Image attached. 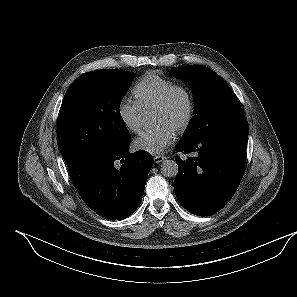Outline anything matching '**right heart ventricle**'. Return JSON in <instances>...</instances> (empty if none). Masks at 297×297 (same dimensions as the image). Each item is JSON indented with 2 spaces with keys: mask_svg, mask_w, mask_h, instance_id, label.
Instances as JSON below:
<instances>
[{
  "mask_svg": "<svg viewBox=\"0 0 297 297\" xmlns=\"http://www.w3.org/2000/svg\"><path fill=\"white\" fill-rule=\"evenodd\" d=\"M175 83L155 72L145 74L133 87V95L142 110L155 106Z\"/></svg>",
  "mask_w": 297,
  "mask_h": 297,
  "instance_id": "obj_1",
  "label": "right heart ventricle"
}]
</instances>
